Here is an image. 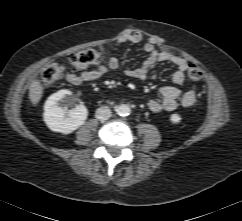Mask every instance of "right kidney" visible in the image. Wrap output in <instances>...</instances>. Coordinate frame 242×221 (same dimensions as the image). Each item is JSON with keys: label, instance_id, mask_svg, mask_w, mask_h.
I'll return each mask as SVG.
<instances>
[{"label": "right kidney", "instance_id": "obj_1", "mask_svg": "<svg viewBox=\"0 0 242 221\" xmlns=\"http://www.w3.org/2000/svg\"><path fill=\"white\" fill-rule=\"evenodd\" d=\"M76 101L69 90H60L49 96L43 113L47 127L54 132L70 134L82 126L87 119L88 110L82 102L76 104ZM70 107L73 108L68 109Z\"/></svg>", "mask_w": 242, "mask_h": 221}]
</instances>
